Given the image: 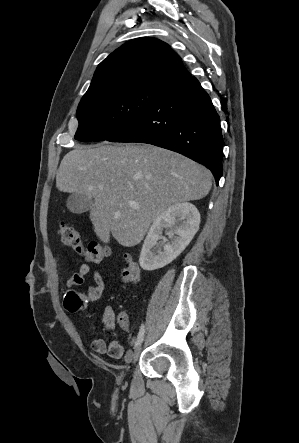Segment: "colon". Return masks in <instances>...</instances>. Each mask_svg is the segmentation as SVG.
<instances>
[{
	"label": "colon",
	"mask_w": 299,
	"mask_h": 443,
	"mask_svg": "<svg viewBox=\"0 0 299 443\" xmlns=\"http://www.w3.org/2000/svg\"><path fill=\"white\" fill-rule=\"evenodd\" d=\"M58 234L65 245L73 249L90 264H100L109 253L106 246L97 242L90 243L85 247L78 231L66 222L60 223ZM121 278L125 283L131 284L137 283L139 280V267L129 256H126V264L122 270ZM116 322L118 325L124 326L125 319L123 316H118Z\"/></svg>",
	"instance_id": "obj_1"
}]
</instances>
